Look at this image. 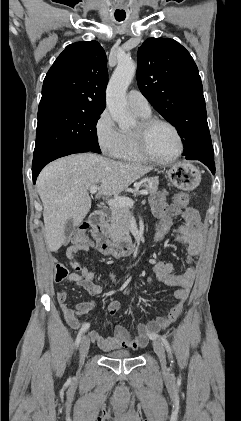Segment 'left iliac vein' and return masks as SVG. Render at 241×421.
I'll use <instances>...</instances> for the list:
<instances>
[{"label": "left iliac vein", "instance_id": "left-iliac-vein-1", "mask_svg": "<svg viewBox=\"0 0 241 421\" xmlns=\"http://www.w3.org/2000/svg\"><path fill=\"white\" fill-rule=\"evenodd\" d=\"M153 349L159 358L163 371L167 370L166 355L163 344L159 340L153 341Z\"/></svg>", "mask_w": 241, "mask_h": 421}]
</instances>
